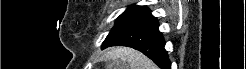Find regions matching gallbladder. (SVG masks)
<instances>
[{
    "mask_svg": "<svg viewBox=\"0 0 246 69\" xmlns=\"http://www.w3.org/2000/svg\"><path fill=\"white\" fill-rule=\"evenodd\" d=\"M106 69H117V66H116L115 62L110 60L106 63Z\"/></svg>",
    "mask_w": 246,
    "mask_h": 69,
    "instance_id": "obj_1",
    "label": "gallbladder"
}]
</instances>
